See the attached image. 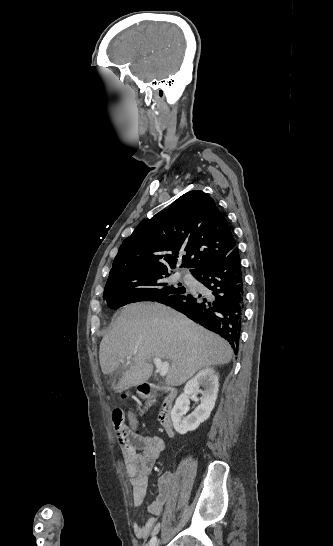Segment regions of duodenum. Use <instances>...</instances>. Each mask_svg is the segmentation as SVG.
<instances>
[{"label": "duodenum", "mask_w": 333, "mask_h": 546, "mask_svg": "<svg viewBox=\"0 0 333 546\" xmlns=\"http://www.w3.org/2000/svg\"><path fill=\"white\" fill-rule=\"evenodd\" d=\"M159 390L160 389L157 386L152 384H143L140 387L141 393L147 399L156 397ZM164 394H165V398L162 402V405L158 413V420L161 426L163 427L165 433L168 436H172L174 432H173L171 412L173 407V401L176 396V391L173 388H165Z\"/></svg>", "instance_id": "duodenum-1"}]
</instances>
